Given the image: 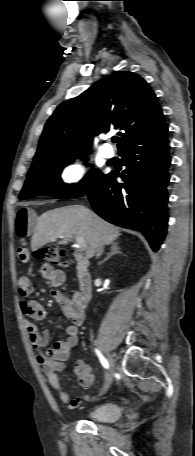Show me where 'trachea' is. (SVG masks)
<instances>
[{"instance_id": "trachea-1", "label": "trachea", "mask_w": 195, "mask_h": 456, "mask_svg": "<svg viewBox=\"0 0 195 456\" xmlns=\"http://www.w3.org/2000/svg\"><path fill=\"white\" fill-rule=\"evenodd\" d=\"M112 141H113L114 143H117V142H118V138H117V137H113V138H112Z\"/></svg>"}]
</instances>
